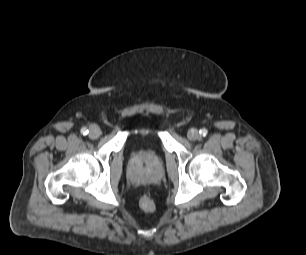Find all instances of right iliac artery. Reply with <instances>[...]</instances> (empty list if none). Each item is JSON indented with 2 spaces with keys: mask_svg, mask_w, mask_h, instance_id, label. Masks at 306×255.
<instances>
[{
  "mask_svg": "<svg viewBox=\"0 0 306 255\" xmlns=\"http://www.w3.org/2000/svg\"><path fill=\"white\" fill-rule=\"evenodd\" d=\"M81 133H82L83 135H87V134H88V129L85 128V127H83V128L81 129Z\"/></svg>",
  "mask_w": 306,
  "mask_h": 255,
  "instance_id": "82829eb1",
  "label": "right iliac artery"
}]
</instances>
